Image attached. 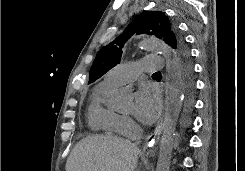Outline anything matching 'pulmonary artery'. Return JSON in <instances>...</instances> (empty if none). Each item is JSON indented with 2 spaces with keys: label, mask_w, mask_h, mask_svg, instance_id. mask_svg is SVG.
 Wrapping results in <instances>:
<instances>
[{
  "label": "pulmonary artery",
  "mask_w": 245,
  "mask_h": 171,
  "mask_svg": "<svg viewBox=\"0 0 245 171\" xmlns=\"http://www.w3.org/2000/svg\"><path fill=\"white\" fill-rule=\"evenodd\" d=\"M164 58L159 55H149L139 61L120 64L111 69L104 77V82L118 86L134 80L140 72H153L163 69Z\"/></svg>",
  "instance_id": "pulmonary-artery-1"
}]
</instances>
